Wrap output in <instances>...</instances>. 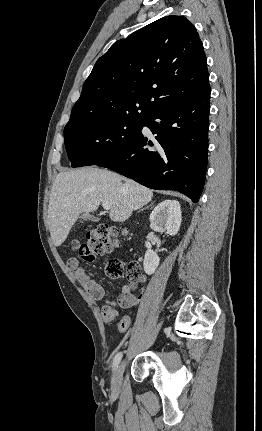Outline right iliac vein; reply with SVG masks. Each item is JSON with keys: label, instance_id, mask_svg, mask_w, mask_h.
I'll return each instance as SVG.
<instances>
[{"label": "right iliac vein", "instance_id": "1", "mask_svg": "<svg viewBox=\"0 0 262 431\" xmlns=\"http://www.w3.org/2000/svg\"><path fill=\"white\" fill-rule=\"evenodd\" d=\"M124 366H125L124 362L120 363L113 373L112 380H111V385L113 389L119 388L120 379L124 371Z\"/></svg>", "mask_w": 262, "mask_h": 431}]
</instances>
